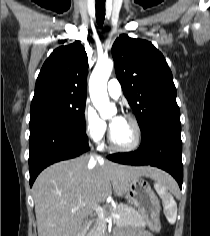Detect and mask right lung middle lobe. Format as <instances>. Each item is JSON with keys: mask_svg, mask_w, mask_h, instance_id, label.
Masks as SVG:
<instances>
[{"mask_svg": "<svg viewBox=\"0 0 210 236\" xmlns=\"http://www.w3.org/2000/svg\"><path fill=\"white\" fill-rule=\"evenodd\" d=\"M86 98L49 96L31 103L30 130L46 125L68 126L83 132L85 127Z\"/></svg>", "mask_w": 210, "mask_h": 236, "instance_id": "right-lung-middle-lobe-1", "label": "right lung middle lobe"}]
</instances>
